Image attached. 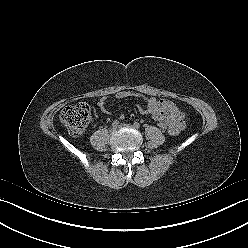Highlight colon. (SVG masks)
<instances>
[{
    "mask_svg": "<svg viewBox=\"0 0 248 248\" xmlns=\"http://www.w3.org/2000/svg\"><path fill=\"white\" fill-rule=\"evenodd\" d=\"M60 120L73 136H81L85 133L90 120V108L85 103L65 107L60 113ZM158 126L163 131H169L166 121H158Z\"/></svg>",
    "mask_w": 248,
    "mask_h": 248,
    "instance_id": "1",
    "label": "colon"
}]
</instances>
